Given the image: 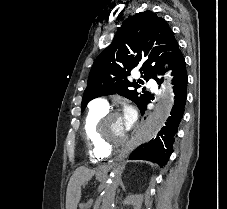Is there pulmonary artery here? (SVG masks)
Listing matches in <instances>:
<instances>
[{
	"label": "pulmonary artery",
	"instance_id": "1",
	"mask_svg": "<svg viewBox=\"0 0 227 209\" xmlns=\"http://www.w3.org/2000/svg\"><path fill=\"white\" fill-rule=\"evenodd\" d=\"M100 100H87V105H97L100 108H107L108 102L103 95L99 96Z\"/></svg>",
	"mask_w": 227,
	"mask_h": 209
}]
</instances>
